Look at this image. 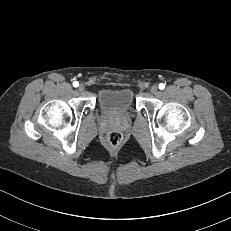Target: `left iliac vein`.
Returning a JSON list of instances; mask_svg holds the SVG:
<instances>
[{"instance_id": "4c4485c4", "label": "left iliac vein", "mask_w": 231, "mask_h": 231, "mask_svg": "<svg viewBox=\"0 0 231 231\" xmlns=\"http://www.w3.org/2000/svg\"><path fill=\"white\" fill-rule=\"evenodd\" d=\"M158 86L157 85H153L152 87H151V89H150V92L152 93V94H156L157 92H158Z\"/></svg>"}]
</instances>
